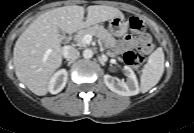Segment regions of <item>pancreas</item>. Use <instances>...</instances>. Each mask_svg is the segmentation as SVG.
Masks as SVG:
<instances>
[{
	"label": "pancreas",
	"mask_w": 194,
	"mask_h": 133,
	"mask_svg": "<svg viewBox=\"0 0 194 133\" xmlns=\"http://www.w3.org/2000/svg\"><path fill=\"white\" fill-rule=\"evenodd\" d=\"M87 34L98 37L109 46H113L116 42L111 33L108 30H106L103 26L94 25L82 29L77 33V35L74 38L77 45L79 46L85 45V43L83 42V37ZM107 54L110 55L111 57H115V54L110 51Z\"/></svg>",
	"instance_id": "1"
}]
</instances>
